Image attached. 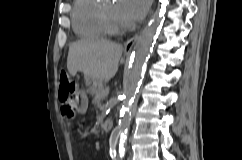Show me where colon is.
I'll list each match as a JSON object with an SVG mask.
<instances>
[{
	"label": "colon",
	"instance_id": "1",
	"mask_svg": "<svg viewBox=\"0 0 242 160\" xmlns=\"http://www.w3.org/2000/svg\"><path fill=\"white\" fill-rule=\"evenodd\" d=\"M59 99L63 102L62 113L67 118L74 117L78 106L85 101L84 93L65 72L59 75Z\"/></svg>",
	"mask_w": 242,
	"mask_h": 160
}]
</instances>
